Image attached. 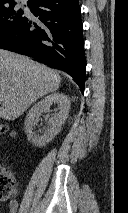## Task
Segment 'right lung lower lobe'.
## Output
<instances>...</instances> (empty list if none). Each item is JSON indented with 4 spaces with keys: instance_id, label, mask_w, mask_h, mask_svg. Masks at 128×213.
I'll list each match as a JSON object with an SVG mask.
<instances>
[{
    "instance_id": "1",
    "label": "right lung lower lobe",
    "mask_w": 128,
    "mask_h": 213,
    "mask_svg": "<svg viewBox=\"0 0 128 213\" xmlns=\"http://www.w3.org/2000/svg\"><path fill=\"white\" fill-rule=\"evenodd\" d=\"M40 22L26 20L0 41V48L46 62L72 76L84 91L86 58L78 0H34Z\"/></svg>"
}]
</instances>
